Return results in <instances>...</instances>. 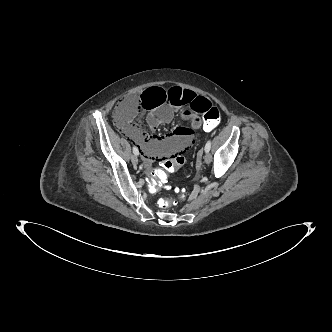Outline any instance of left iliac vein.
I'll return each instance as SVG.
<instances>
[{
    "label": "left iliac vein",
    "mask_w": 332,
    "mask_h": 332,
    "mask_svg": "<svg viewBox=\"0 0 332 332\" xmlns=\"http://www.w3.org/2000/svg\"><path fill=\"white\" fill-rule=\"evenodd\" d=\"M212 161V156L210 153L206 152V154L204 155V162L206 164H209Z\"/></svg>",
    "instance_id": "left-iliac-vein-1"
}]
</instances>
